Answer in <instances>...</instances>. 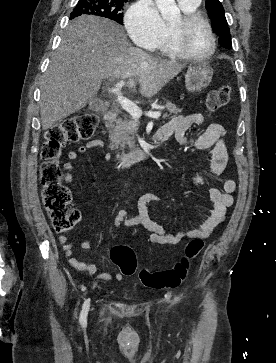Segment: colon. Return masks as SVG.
<instances>
[{"label":"colon","instance_id":"1","mask_svg":"<svg viewBox=\"0 0 276 363\" xmlns=\"http://www.w3.org/2000/svg\"><path fill=\"white\" fill-rule=\"evenodd\" d=\"M231 89L227 85L212 90L206 98L208 112H216L226 106L230 100ZM95 114L86 112L63 119L45 132V142L41 151L42 165L40 182L45 210L56 233H66L80 219V211L71 205L72 195L63 184L64 173L59 163L62 148L68 143L92 137L97 126ZM201 238L192 239L185 248L183 258L170 270L151 272L139 271L140 283L147 288H174L187 276L190 260L194 259L203 248ZM111 260L123 275H133L137 268L135 252L128 246L118 245L111 250Z\"/></svg>","mask_w":276,"mask_h":363}]
</instances>
